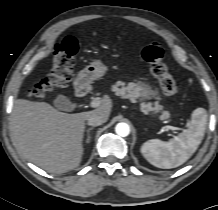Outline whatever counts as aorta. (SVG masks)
<instances>
[{"instance_id": "obj_1", "label": "aorta", "mask_w": 218, "mask_h": 210, "mask_svg": "<svg viewBox=\"0 0 218 210\" xmlns=\"http://www.w3.org/2000/svg\"><path fill=\"white\" fill-rule=\"evenodd\" d=\"M116 133L121 137H126L130 133V128L126 123H118L115 127Z\"/></svg>"}]
</instances>
